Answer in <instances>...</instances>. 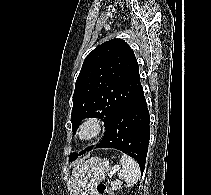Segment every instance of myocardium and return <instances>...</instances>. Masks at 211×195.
<instances>
[{"mask_svg":"<svg viewBox=\"0 0 211 195\" xmlns=\"http://www.w3.org/2000/svg\"><path fill=\"white\" fill-rule=\"evenodd\" d=\"M104 125L101 118L97 116L87 117L82 121L78 128V137L80 140L90 142L95 140L103 132ZM86 131H89L86 134Z\"/></svg>","mask_w":211,"mask_h":195,"instance_id":"f54148a6","label":"myocardium"}]
</instances>
